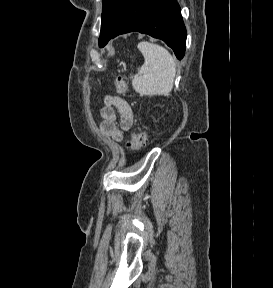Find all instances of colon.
<instances>
[{"label": "colon", "mask_w": 273, "mask_h": 288, "mask_svg": "<svg viewBox=\"0 0 273 288\" xmlns=\"http://www.w3.org/2000/svg\"><path fill=\"white\" fill-rule=\"evenodd\" d=\"M115 86L120 94L126 93L127 85L125 79L121 75L116 77ZM146 141V133L144 131H137L132 134L131 139L127 143V148L131 151H137L145 145Z\"/></svg>", "instance_id": "colon-1"}]
</instances>
